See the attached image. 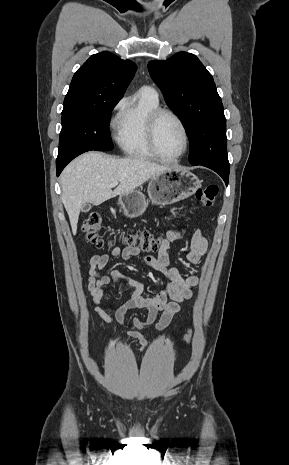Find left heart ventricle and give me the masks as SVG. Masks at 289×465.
Instances as JSON below:
<instances>
[{"instance_id":"b2bd125f","label":"left heart ventricle","mask_w":289,"mask_h":465,"mask_svg":"<svg viewBox=\"0 0 289 465\" xmlns=\"http://www.w3.org/2000/svg\"><path fill=\"white\" fill-rule=\"evenodd\" d=\"M158 147L165 157H175L182 152L185 144L184 134L179 123L171 116L161 118L157 135Z\"/></svg>"}]
</instances>
